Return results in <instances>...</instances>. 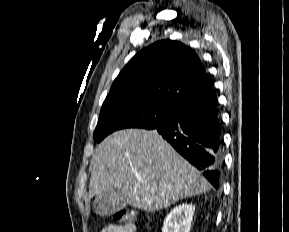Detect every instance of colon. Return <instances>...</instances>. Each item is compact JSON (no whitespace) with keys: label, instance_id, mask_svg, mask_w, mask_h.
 Returning <instances> with one entry per match:
<instances>
[{"label":"colon","instance_id":"obj_1","mask_svg":"<svg viewBox=\"0 0 289 232\" xmlns=\"http://www.w3.org/2000/svg\"><path fill=\"white\" fill-rule=\"evenodd\" d=\"M113 219L118 225H126L131 223L133 215L128 210H119L113 214Z\"/></svg>","mask_w":289,"mask_h":232}]
</instances>
